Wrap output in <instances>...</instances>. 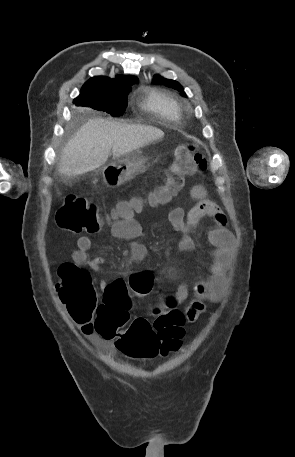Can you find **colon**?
Here are the masks:
<instances>
[{
  "label": "colon",
  "instance_id": "obj_1",
  "mask_svg": "<svg viewBox=\"0 0 295 457\" xmlns=\"http://www.w3.org/2000/svg\"><path fill=\"white\" fill-rule=\"evenodd\" d=\"M206 169V161L196 152L193 143L178 146L170 165L165 171L164 184L151 195L152 204H163L180 191L187 176ZM141 199L119 202L114 212L106 217L87 199L69 195L57 211L58 225L70 232L96 233L108 221H116L133 215L144 207ZM155 285V276L150 271L133 273L128 278V287L137 294H147ZM56 289L69 315L78 321L92 322L102 338L115 339L121 359L154 360L155 356L168 355L177 350H187L189 342H182L186 325L184 312L171 308L155 310L156 318L150 323L137 318L129 323L128 310L131 298L123 281L109 285L104 291L102 303H97L93 282L88 273L73 263H65L59 272ZM172 306H175L172 303Z\"/></svg>",
  "mask_w": 295,
  "mask_h": 457
}]
</instances>
